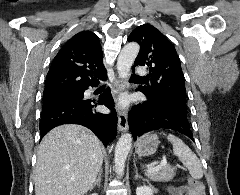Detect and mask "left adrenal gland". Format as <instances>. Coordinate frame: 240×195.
<instances>
[{
	"instance_id": "a2214340",
	"label": "left adrenal gland",
	"mask_w": 240,
	"mask_h": 195,
	"mask_svg": "<svg viewBox=\"0 0 240 195\" xmlns=\"http://www.w3.org/2000/svg\"><path fill=\"white\" fill-rule=\"evenodd\" d=\"M134 165H135V173H136L135 177H136V179H137V177H142V175H139V173H138L136 163H134ZM142 179H143V177H142ZM143 181H147V183H149V179H143Z\"/></svg>"
}]
</instances>
